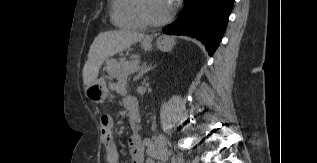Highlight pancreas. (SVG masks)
<instances>
[{
	"instance_id": "obj_1",
	"label": "pancreas",
	"mask_w": 317,
	"mask_h": 163,
	"mask_svg": "<svg viewBox=\"0 0 317 163\" xmlns=\"http://www.w3.org/2000/svg\"><path fill=\"white\" fill-rule=\"evenodd\" d=\"M139 62L138 58L132 61H126L124 58L117 61L116 59H110L106 63V71L108 73L107 79L111 80L119 77L124 71L136 66Z\"/></svg>"
}]
</instances>
